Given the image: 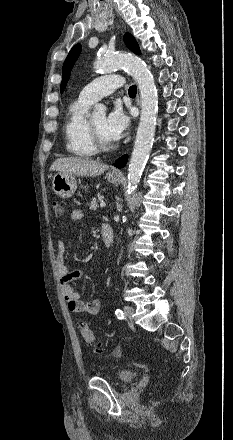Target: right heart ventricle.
I'll list each match as a JSON object with an SVG mask.
<instances>
[{"mask_svg":"<svg viewBox=\"0 0 233 440\" xmlns=\"http://www.w3.org/2000/svg\"><path fill=\"white\" fill-rule=\"evenodd\" d=\"M90 103L80 99L71 103L64 125L67 151L76 157L88 158L97 153L87 128V112Z\"/></svg>","mask_w":233,"mask_h":440,"instance_id":"e07e8e85","label":"right heart ventricle"}]
</instances>
